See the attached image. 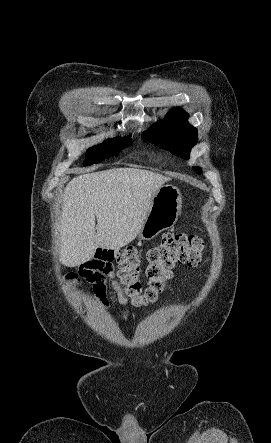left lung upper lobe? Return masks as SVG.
Segmentation results:
<instances>
[{
  "instance_id": "1",
  "label": "left lung upper lobe",
  "mask_w": 271,
  "mask_h": 443,
  "mask_svg": "<svg viewBox=\"0 0 271 443\" xmlns=\"http://www.w3.org/2000/svg\"><path fill=\"white\" fill-rule=\"evenodd\" d=\"M188 117V113L181 108H174L163 121L155 123L143 135L160 148L188 159L191 148L197 143V129L188 123ZM195 170L201 173L200 168L196 167Z\"/></svg>"
}]
</instances>
